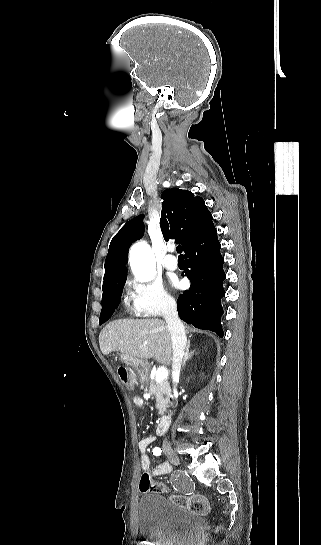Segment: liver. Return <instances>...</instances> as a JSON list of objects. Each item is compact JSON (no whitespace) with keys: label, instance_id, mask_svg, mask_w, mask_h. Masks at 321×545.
Segmentation results:
<instances>
[{"label":"liver","instance_id":"liver-1","mask_svg":"<svg viewBox=\"0 0 321 545\" xmlns=\"http://www.w3.org/2000/svg\"><path fill=\"white\" fill-rule=\"evenodd\" d=\"M103 355L119 351L136 359H155L170 365L173 359L168 325L161 319H118L99 335Z\"/></svg>","mask_w":321,"mask_h":545}]
</instances>
